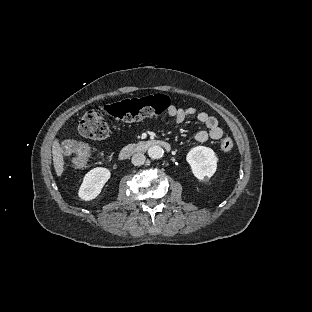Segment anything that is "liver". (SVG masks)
Listing matches in <instances>:
<instances>
[{
  "label": "liver",
  "mask_w": 312,
  "mask_h": 312,
  "mask_svg": "<svg viewBox=\"0 0 312 312\" xmlns=\"http://www.w3.org/2000/svg\"><path fill=\"white\" fill-rule=\"evenodd\" d=\"M62 148L57 139L52 144L53 164L57 176H61L64 171V159L62 154Z\"/></svg>",
  "instance_id": "liver-1"
}]
</instances>
